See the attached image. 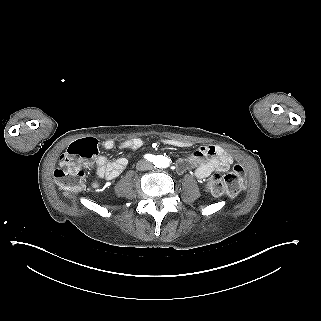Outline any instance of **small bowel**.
<instances>
[{
	"label": "small bowel",
	"mask_w": 321,
	"mask_h": 321,
	"mask_svg": "<svg viewBox=\"0 0 321 321\" xmlns=\"http://www.w3.org/2000/svg\"><path fill=\"white\" fill-rule=\"evenodd\" d=\"M162 142L176 148H189L192 146L188 141L176 139H163ZM102 145L107 150H112L116 146L115 142L111 139L105 140ZM142 145L143 140L140 138L128 139L120 143L119 149L126 151L129 155H133ZM232 162V157L221 147L204 145L189 156L179 159L176 167L179 172L194 169L196 178L204 180L214 171H227ZM126 165V158L121 157L115 160H109L104 156L98 157L94 162L86 163V167L95 169L97 176L107 181L117 178L124 171Z\"/></svg>",
	"instance_id": "small-bowel-1"
}]
</instances>
